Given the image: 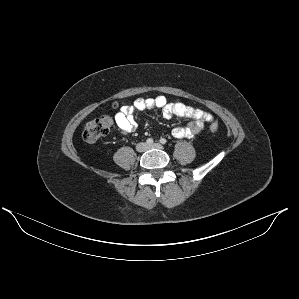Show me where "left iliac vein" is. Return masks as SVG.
<instances>
[{"label":"left iliac vein","mask_w":299,"mask_h":299,"mask_svg":"<svg viewBox=\"0 0 299 299\" xmlns=\"http://www.w3.org/2000/svg\"><path fill=\"white\" fill-rule=\"evenodd\" d=\"M153 148H155V149H163V146L161 144H159V143H154V144H151V145L147 146V149H153Z\"/></svg>","instance_id":"left-iliac-vein-1"}]
</instances>
